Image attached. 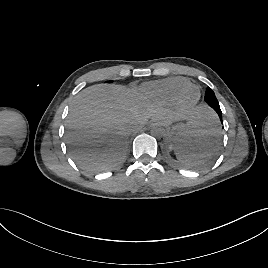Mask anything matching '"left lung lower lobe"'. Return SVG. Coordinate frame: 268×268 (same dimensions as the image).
Returning a JSON list of instances; mask_svg holds the SVG:
<instances>
[{
    "instance_id": "left-lung-lower-lobe-1",
    "label": "left lung lower lobe",
    "mask_w": 268,
    "mask_h": 268,
    "mask_svg": "<svg viewBox=\"0 0 268 268\" xmlns=\"http://www.w3.org/2000/svg\"><path fill=\"white\" fill-rule=\"evenodd\" d=\"M209 106L212 107L216 111V113L218 114V116H219V118L221 120V123H223V121H222V112H221L219 104H211Z\"/></svg>"
}]
</instances>
